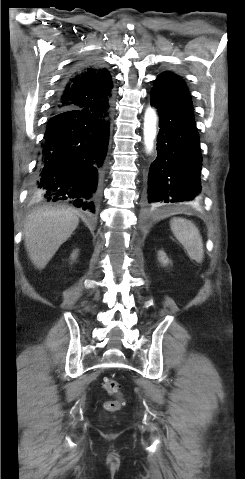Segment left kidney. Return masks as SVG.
Segmentation results:
<instances>
[{"mask_svg": "<svg viewBox=\"0 0 245 479\" xmlns=\"http://www.w3.org/2000/svg\"><path fill=\"white\" fill-rule=\"evenodd\" d=\"M158 259H159V262L163 264V266H166L169 264V259L166 256L165 252L163 251L158 252Z\"/></svg>", "mask_w": 245, "mask_h": 479, "instance_id": "left-kidney-1", "label": "left kidney"}]
</instances>
